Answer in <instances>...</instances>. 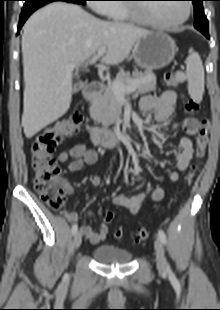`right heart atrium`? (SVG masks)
<instances>
[{
  "label": "right heart atrium",
  "instance_id": "obj_1",
  "mask_svg": "<svg viewBox=\"0 0 220 310\" xmlns=\"http://www.w3.org/2000/svg\"><path fill=\"white\" fill-rule=\"evenodd\" d=\"M92 1L97 2V3L92 5V8L95 11L105 15V12L110 7V5L109 4L100 3V2H105L107 0H92Z\"/></svg>",
  "mask_w": 220,
  "mask_h": 310
}]
</instances>
